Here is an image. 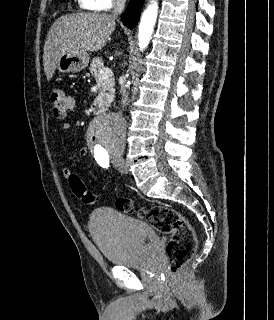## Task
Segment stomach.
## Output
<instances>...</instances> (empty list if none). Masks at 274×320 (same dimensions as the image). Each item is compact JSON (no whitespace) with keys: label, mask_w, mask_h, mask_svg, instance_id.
Wrapping results in <instances>:
<instances>
[{"label":"stomach","mask_w":274,"mask_h":320,"mask_svg":"<svg viewBox=\"0 0 274 320\" xmlns=\"http://www.w3.org/2000/svg\"><path fill=\"white\" fill-rule=\"evenodd\" d=\"M89 64V54L88 52H76V50H71L68 54L61 56L59 62L56 64L58 72L61 74H75V72H81L85 70Z\"/></svg>","instance_id":"stomach-1"}]
</instances>
